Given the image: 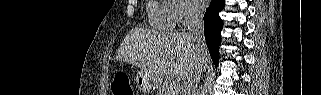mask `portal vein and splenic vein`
I'll return each mask as SVG.
<instances>
[{
  "label": "portal vein and splenic vein",
  "mask_w": 321,
  "mask_h": 95,
  "mask_svg": "<svg viewBox=\"0 0 321 95\" xmlns=\"http://www.w3.org/2000/svg\"><path fill=\"white\" fill-rule=\"evenodd\" d=\"M169 84L172 88H178V83L176 79L170 80Z\"/></svg>",
  "instance_id": "18ae733b"
}]
</instances>
